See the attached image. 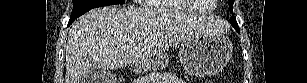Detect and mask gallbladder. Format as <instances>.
<instances>
[{
  "mask_svg": "<svg viewBox=\"0 0 307 83\" xmlns=\"http://www.w3.org/2000/svg\"><path fill=\"white\" fill-rule=\"evenodd\" d=\"M115 75L103 69H89L82 76L81 83H114Z\"/></svg>",
  "mask_w": 307,
  "mask_h": 83,
  "instance_id": "gallbladder-1",
  "label": "gallbladder"
}]
</instances>
